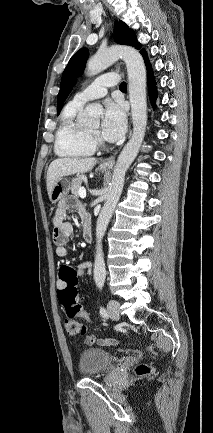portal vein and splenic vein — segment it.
Masks as SVG:
<instances>
[{
	"label": "portal vein and splenic vein",
	"instance_id": "portal-vein-and-splenic-vein-1",
	"mask_svg": "<svg viewBox=\"0 0 213 433\" xmlns=\"http://www.w3.org/2000/svg\"><path fill=\"white\" fill-rule=\"evenodd\" d=\"M79 196H80L81 198H85V197H86V189H85L84 187H81V188L79 189Z\"/></svg>",
	"mask_w": 213,
	"mask_h": 433
}]
</instances>
